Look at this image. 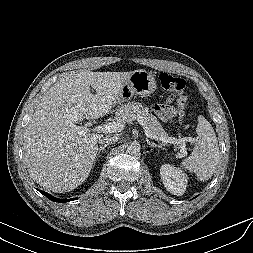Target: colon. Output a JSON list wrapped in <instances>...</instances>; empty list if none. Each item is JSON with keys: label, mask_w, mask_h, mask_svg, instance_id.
I'll return each mask as SVG.
<instances>
[{"label": "colon", "mask_w": 253, "mask_h": 253, "mask_svg": "<svg viewBox=\"0 0 253 253\" xmlns=\"http://www.w3.org/2000/svg\"><path fill=\"white\" fill-rule=\"evenodd\" d=\"M161 86L169 91L175 99L181 114L184 116L188 98L185 93V82L179 77L163 72L159 77Z\"/></svg>", "instance_id": "1"}]
</instances>
